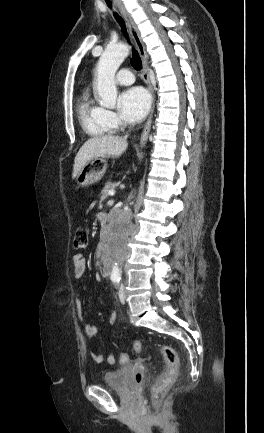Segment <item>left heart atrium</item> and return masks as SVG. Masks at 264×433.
<instances>
[{
	"label": "left heart atrium",
	"mask_w": 264,
	"mask_h": 433,
	"mask_svg": "<svg viewBox=\"0 0 264 433\" xmlns=\"http://www.w3.org/2000/svg\"><path fill=\"white\" fill-rule=\"evenodd\" d=\"M120 116L128 122L141 121L150 107L148 93L141 87H132L122 92L118 99Z\"/></svg>",
	"instance_id": "obj_1"
}]
</instances>
